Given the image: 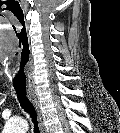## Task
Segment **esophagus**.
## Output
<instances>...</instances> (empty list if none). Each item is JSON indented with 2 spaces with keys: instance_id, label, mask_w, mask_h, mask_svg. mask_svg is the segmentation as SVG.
Returning <instances> with one entry per match:
<instances>
[{
  "instance_id": "esophagus-1",
  "label": "esophagus",
  "mask_w": 120,
  "mask_h": 133,
  "mask_svg": "<svg viewBox=\"0 0 120 133\" xmlns=\"http://www.w3.org/2000/svg\"><path fill=\"white\" fill-rule=\"evenodd\" d=\"M27 95H28L30 101L35 106V109H36V112H37V118H38V122H39L40 131H41V133H46L45 127H44L43 115H42V111H41V107H40V102H39V98H38L36 90L29 89L27 91Z\"/></svg>"
}]
</instances>
